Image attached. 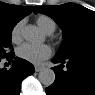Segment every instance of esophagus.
<instances>
[{
	"label": "esophagus",
	"instance_id": "esophagus-1",
	"mask_svg": "<svg viewBox=\"0 0 95 95\" xmlns=\"http://www.w3.org/2000/svg\"><path fill=\"white\" fill-rule=\"evenodd\" d=\"M42 69H43V67L40 66V65H36V66H35V71H36V72H39V71H41Z\"/></svg>",
	"mask_w": 95,
	"mask_h": 95
}]
</instances>
